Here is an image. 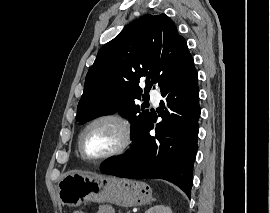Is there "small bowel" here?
<instances>
[{
	"label": "small bowel",
	"mask_w": 270,
	"mask_h": 213,
	"mask_svg": "<svg viewBox=\"0 0 270 213\" xmlns=\"http://www.w3.org/2000/svg\"><path fill=\"white\" fill-rule=\"evenodd\" d=\"M96 213H114V211L110 206H102L97 210Z\"/></svg>",
	"instance_id": "1"
}]
</instances>
